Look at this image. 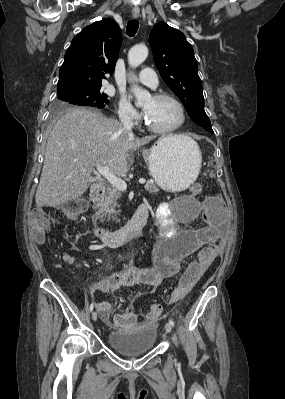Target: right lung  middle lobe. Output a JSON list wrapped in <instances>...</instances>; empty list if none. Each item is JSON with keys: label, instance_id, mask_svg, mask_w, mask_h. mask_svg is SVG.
Listing matches in <instances>:
<instances>
[{"label": "right lung middle lobe", "instance_id": "1", "mask_svg": "<svg viewBox=\"0 0 285 399\" xmlns=\"http://www.w3.org/2000/svg\"><path fill=\"white\" fill-rule=\"evenodd\" d=\"M57 93L58 96L57 102L55 104V111H61L70 108L73 105L90 106L102 109L110 102L107 99L108 95L102 93L100 91V87L91 89L66 90Z\"/></svg>", "mask_w": 285, "mask_h": 399}]
</instances>
